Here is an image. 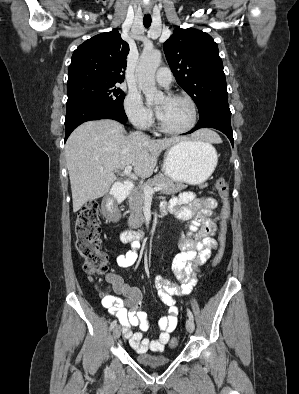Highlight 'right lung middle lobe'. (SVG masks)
<instances>
[{"label":"right lung middle lobe","instance_id":"right-lung-middle-lobe-1","mask_svg":"<svg viewBox=\"0 0 299 394\" xmlns=\"http://www.w3.org/2000/svg\"><path fill=\"white\" fill-rule=\"evenodd\" d=\"M67 104L75 102H95L116 112L123 113L125 94L117 83L92 82L68 87Z\"/></svg>","mask_w":299,"mask_h":394}]
</instances>
